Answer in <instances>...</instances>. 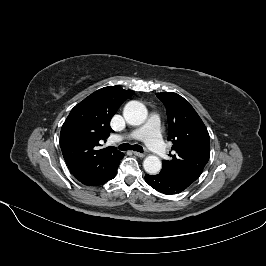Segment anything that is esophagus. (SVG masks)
<instances>
[{"mask_svg":"<svg viewBox=\"0 0 266 266\" xmlns=\"http://www.w3.org/2000/svg\"><path fill=\"white\" fill-rule=\"evenodd\" d=\"M133 153H134V155H136V156H138V157H145V155H146V154L143 153V152L141 153V152H137V151H134Z\"/></svg>","mask_w":266,"mask_h":266,"instance_id":"1","label":"esophagus"}]
</instances>
